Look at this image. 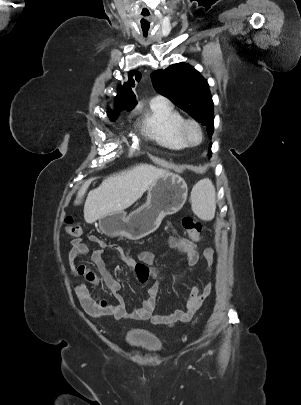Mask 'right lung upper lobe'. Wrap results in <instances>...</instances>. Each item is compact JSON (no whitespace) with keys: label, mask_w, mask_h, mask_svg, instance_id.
Returning a JSON list of instances; mask_svg holds the SVG:
<instances>
[{"label":"right lung upper lobe","mask_w":301,"mask_h":405,"mask_svg":"<svg viewBox=\"0 0 301 405\" xmlns=\"http://www.w3.org/2000/svg\"><path fill=\"white\" fill-rule=\"evenodd\" d=\"M128 76V81L124 83L123 86H120V93L115 97L117 111L123 109L131 110L137 103L136 96L132 91V87L135 85L132 77L135 76V80L139 81L141 79V74L138 71H130ZM110 113L114 112H109V114Z\"/></svg>","instance_id":"obj_1"}]
</instances>
